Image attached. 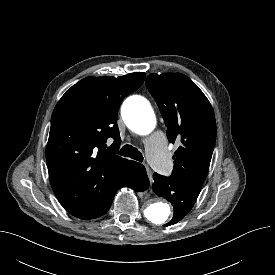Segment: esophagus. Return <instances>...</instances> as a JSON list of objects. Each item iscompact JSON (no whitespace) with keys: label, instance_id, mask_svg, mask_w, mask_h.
<instances>
[{"label":"esophagus","instance_id":"1","mask_svg":"<svg viewBox=\"0 0 275 275\" xmlns=\"http://www.w3.org/2000/svg\"><path fill=\"white\" fill-rule=\"evenodd\" d=\"M145 168H146L149 180L152 181V170L147 165H145Z\"/></svg>","mask_w":275,"mask_h":275}]
</instances>
